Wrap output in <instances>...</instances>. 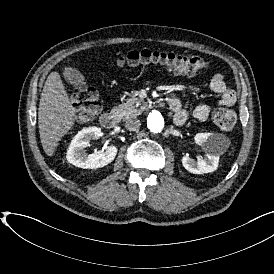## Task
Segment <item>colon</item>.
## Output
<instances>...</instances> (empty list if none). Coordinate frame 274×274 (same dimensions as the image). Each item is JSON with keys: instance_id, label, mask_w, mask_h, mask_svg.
Returning a JSON list of instances; mask_svg holds the SVG:
<instances>
[{"instance_id": "obj_1", "label": "colon", "mask_w": 274, "mask_h": 274, "mask_svg": "<svg viewBox=\"0 0 274 274\" xmlns=\"http://www.w3.org/2000/svg\"><path fill=\"white\" fill-rule=\"evenodd\" d=\"M114 64L124 66H154L163 67L180 74H191L208 68V62L195 54H183L156 49H134L123 53L114 59ZM70 100L77 107L79 116L88 117L97 113L99 103L96 90L92 85H77L70 92ZM236 114L229 107H220L214 111V124L222 131H230L236 125Z\"/></svg>"}]
</instances>
